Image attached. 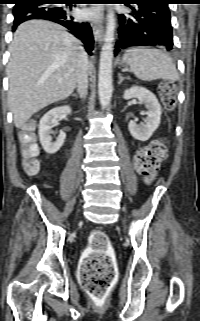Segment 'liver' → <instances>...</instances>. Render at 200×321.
I'll return each mask as SVG.
<instances>
[{
    "mask_svg": "<svg viewBox=\"0 0 200 321\" xmlns=\"http://www.w3.org/2000/svg\"><path fill=\"white\" fill-rule=\"evenodd\" d=\"M81 48L73 35L49 21L31 20L17 28L6 70L8 102L17 128L40 109L72 94Z\"/></svg>",
    "mask_w": 200,
    "mask_h": 321,
    "instance_id": "obj_1",
    "label": "liver"
}]
</instances>
